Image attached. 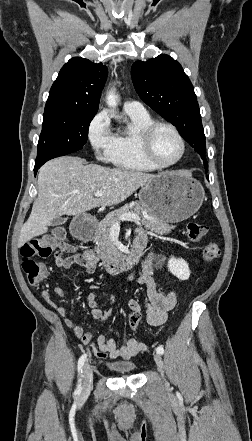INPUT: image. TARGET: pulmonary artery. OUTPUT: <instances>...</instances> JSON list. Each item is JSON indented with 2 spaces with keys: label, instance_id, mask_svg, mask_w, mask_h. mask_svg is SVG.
<instances>
[{
  "label": "pulmonary artery",
  "instance_id": "e3ab8cb5",
  "mask_svg": "<svg viewBox=\"0 0 252 441\" xmlns=\"http://www.w3.org/2000/svg\"><path fill=\"white\" fill-rule=\"evenodd\" d=\"M123 109L126 113H131V114H144V113H146V109L138 101H126L123 104Z\"/></svg>",
  "mask_w": 252,
  "mask_h": 441
}]
</instances>
